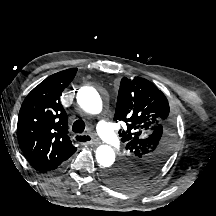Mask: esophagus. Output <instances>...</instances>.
<instances>
[{
    "instance_id": "1",
    "label": "esophagus",
    "mask_w": 216,
    "mask_h": 216,
    "mask_svg": "<svg viewBox=\"0 0 216 216\" xmlns=\"http://www.w3.org/2000/svg\"><path fill=\"white\" fill-rule=\"evenodd\" d=\"M82 136H86V141L84 142H81L78 140L79 137H82ZM75 139L78 141V142H81L82 144H90V145H97L98 144V140L95 139L94 137H92L91 135H76L75 136Z\"/></svg>"
}]
</instances>
